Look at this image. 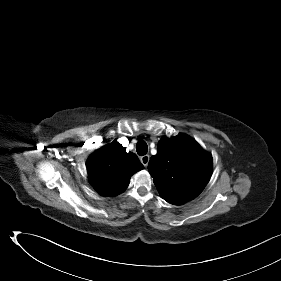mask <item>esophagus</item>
I'll return each mask as SVG.
<instances>
[{
    "instance_id": "1",
    "label": "esophagus",
    "mask_w": 281,
    "mask_h": 281,
    "mask_svg": "<svg viewBox=\"0 0 281 281\" xmlns=\"http://www.w3.org/2000/svg\"><path fill=\"white\" fill-rule=\"evenodd\" d=\"M150 156L149 155H144L140 158L141 163L146 167L149 163Z\"/></svg>"
}]
</instances>
